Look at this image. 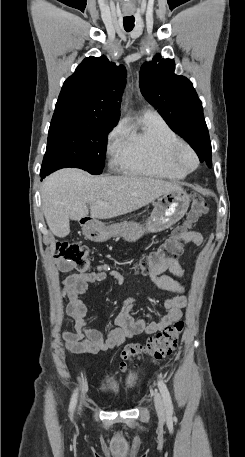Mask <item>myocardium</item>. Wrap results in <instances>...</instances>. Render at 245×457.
Here are the masks:
<instances>
[{
    "instance_id": "myocardium-1",
    "label": "myocardium",
    "mask_w": 245,
    "mask_h": 457,
    "mask_svg": "<svg viewBox=\"0 0 245 457\" xmlns=\"http://www.w3.org/2000/svg\"><path fill=\"white\" fill-rule=\"evenodd\" d=\"M180 153H186L191 158V166L188 167L179 161L178 155ZM154 158L159 165L181 171L185 174L191 173L199 165L197 154L190 147L189 143L184 140H179L164 150L156 151Z\"/></svg>"
}]
</instances>
